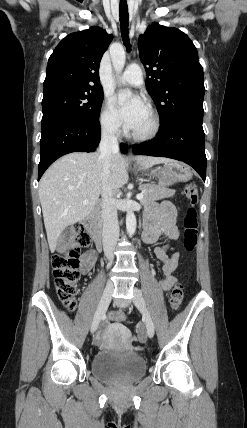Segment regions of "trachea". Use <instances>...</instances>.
Wrapping results in <instances>:
<instances>
[{
  "label": "trachea",
  "mask_w": 247,
  "mask_h": 428,
  "mask_svg": "<svg viewBox=\"0 0 247 428\" xmlns=\"http://www.w3.org/2000/svg\"><path fill=\"white\" fill-rule=\"evenodd\" d=\"M119 13H120V27H121V34L122 39L125 47L127 48V51L130 52L131 45L129 43V37H128V20H129V13H128V6L126 2H121L119 6Z\"/></svg>",
  "instance_id": "1"
}]
</instances>
